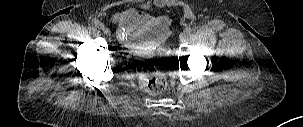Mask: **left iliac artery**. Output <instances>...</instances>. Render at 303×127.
<instances>
[{
    "label": "left iliac artery",
    "mask_w": 303,
    "mask_h": 127,
    "mask_svg": "<svg viewBox=\"0 0 303 127\" xmlns=\"http://www.w3.org/2000/svg\"><path fill=\"white\" fill-rule=\"evenodd\" d=\"M184 36L187 38V39H192L193 37V34L192 32L189 30V29H186L184 32H183Z\"/></svg>",
    "instance_id": "obj_1"
}]
</instances>
